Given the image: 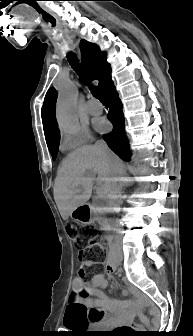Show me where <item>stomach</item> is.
Returning <instances> with one entry per match:
<instances>
[{
  "label": "stomach",
  "instance_id": "stomach-1",
  "mask_svg": "<svg viewBox=\"0 0 193 336\" xmlns=\"http://www.w3.org/2000/svg\"><path fill=\"white\" fill-rule=\"evenodd\" d=\"M71 218L76 222L84 225H88L94 222L93 210L88 205H82L77 207L71 213Z\"/></svg>",
  "mask_w": 193,
  "mask_h": 336
}]
</instances>
